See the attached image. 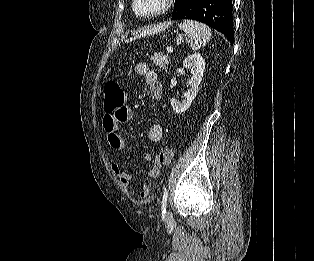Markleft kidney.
<instances>
[{"label":"left kidney","mask_w":314,"mask_h":261,"mask_svg":"<svg viewBox=\"0 0 314 261\" xmlns=\"http://www.w3.org/2000/svg\"><path fill=\"white\" fill-rule=\"evenodd\" d=\"M183 67L186 69H191L192 77L188 81L190 89L184 93L183 99L181 101H178L175 98L171 99V106L178 114L185 112L190 107L192 101L195 99L198 93V87L203 78L205 60L199 53H194L189 55L183 61Z\"/></svg>","instance_id":"obj_1"}]
</instances>
